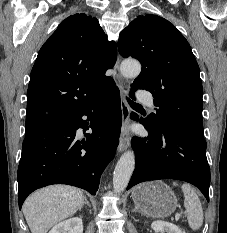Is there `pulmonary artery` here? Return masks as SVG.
<instances>
[{
	"label": "pulmonary artery",
	"instance_id": "e3ab8cb5",
	"mask_svg": "<svg viewBox=\"0 0 227 233\" xmlns=\"http://www.w3.org/2000/svg\"><path fill=\"white\" fill-rule=\"evenodd\" d=\"M139 100L142 103H144V104H146V105H148V106H150L152 108L154 107L152 98L149 95L145 94V93H140L139 94Z\"/></svg>",
	"mask_w": 227,
	"mask_h": 233
}]
</instances>
